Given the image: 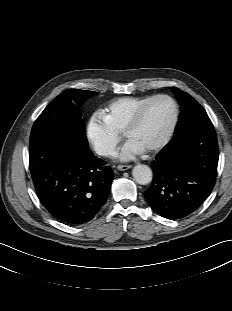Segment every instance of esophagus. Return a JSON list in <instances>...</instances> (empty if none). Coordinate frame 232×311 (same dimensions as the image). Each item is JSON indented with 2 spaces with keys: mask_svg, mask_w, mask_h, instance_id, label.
<instances>
[{
  "mask_svg": "<svg viewBox=\"0 0 232 311\" xmlns=\"http://www.w3.org/2000/svg\"><path fill=\"white\" fill-rule=\"evenodd\" d=\"M131 167H132L131 165H119L117 166V169L120 171H125V170L130 169Z\"/></svg>",
  "mask_w": 232,
  "mask_h": 311,
  "instance_id": "esophagus-1",
  "label": "esophagus"
}]
</instances>
